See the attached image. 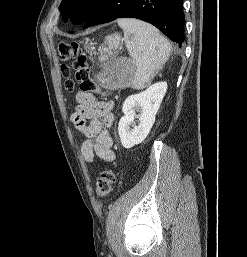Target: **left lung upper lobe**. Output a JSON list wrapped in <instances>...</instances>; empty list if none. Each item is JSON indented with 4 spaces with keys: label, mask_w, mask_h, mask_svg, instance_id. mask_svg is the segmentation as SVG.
<instances>
[{
    "label": "left lung upper lobe",
    "mask_w": 247,
    "mask_h": 257,
    "mask_svg": "<svg viewBox=\"0 0 247 257\" xmlns=\"http://www.w3.org/2000/svg\"><path fill=\"white\" fill-rule=\"evenodd\" d=\"M101 0H62L59 10L64 22L71 19L74 24H82ZM72 33V32H71Z\"/></svg>",
    "instance_id": "5c2ea615"
}]
</instances>
